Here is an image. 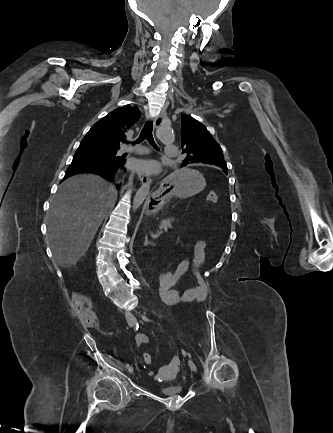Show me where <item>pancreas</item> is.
I'll return each mask as SVG.
<instances>
[{
  "mask_svg": "<svg viewBox=\"0 0 333 433\" xmlns=\"http://www.w3.org/2000/svg\"><path fill=\"white\" fill-rule=\"evenodd\" d=\"M175 221V218L174 217H170V218H167V219H163V220H161V222H160V225H159V228L160 227H166L167 229L168 228H172V223Z\"/></svg>",
  "mask_w": 333,
  "mask_h": 433,
  "instance_id": "cf45deb5",
  "label": "pancreas"
}]
</instances>
